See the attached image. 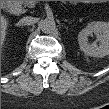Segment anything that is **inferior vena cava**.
<instances>
[{
  "mask_svg": "<svg viewBox=\"0 0 109 109\" xmlns=\"http://www.w3.org/2000/svg\"><path fill=\"white\" fill-rule=\"evenodd\" d=\"M36 22V19L33 17H24L19 21L20 25H33Z\"/></svg>",
  "mask_w": 109,
  "mask_h": 109,
  "instance_id": "inferior-vena-cava-1",
  "label": "inferior vena cava"
}]
</instances>
